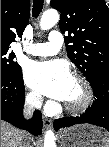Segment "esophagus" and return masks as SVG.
Wrapping results in <instances>:
<instances>
[{"mask_svg":"<svg viewBox=\"0 0 109 147\" xmlns=\"http://www.w3.org/2000/svg\"><path fill=\"white\" fill-rule=\"evenodd\" d=\"M52 124V121L46 117H43V125L45 128H49Z\"/></svg>","mask_w":109,"mask_h":147,"instance_id":"esophagus-1","label":"esophagus"}]
</instances>
